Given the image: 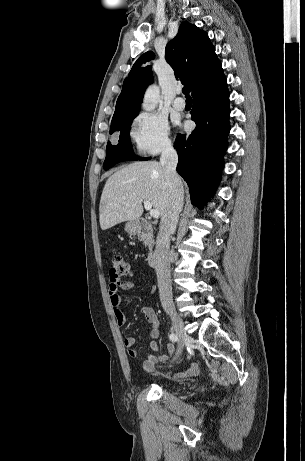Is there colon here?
I'll use <instances>...</instances> for the list:
<instances>
[{"instance_id":"colon-1","label":"colon","mask_w":305,"mask_h":461,"mask_svg":"<svg viewBox=\"0 0 305 461\" xmlns=\"http://www.w3.org/2000/svg\"><path fill=\"white\" fill-rule=\"evenodd\" d=\"M132 273L129 263L119 254H113L110 260V277L121 279Z\"/></svg>"}]
</instances>
